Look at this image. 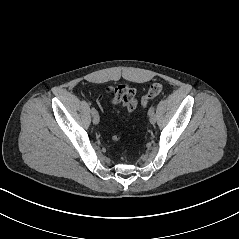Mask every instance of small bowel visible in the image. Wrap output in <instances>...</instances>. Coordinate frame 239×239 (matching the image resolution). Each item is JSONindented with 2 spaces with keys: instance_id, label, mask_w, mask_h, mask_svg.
Segmentation results:
<instances>
[{
  "instance_id": "c3829d8e",
  "label": "small bowel",
  "mask_w": 239,
  "mask_h": 239,
  "mask_svg": "<svg viewBox=\"0 0 239 239\" xmlns=\"http://www.w3.org/2000/svg\"><path fill=\"white\" fill-rule=\"evenodd\" d=\"M106 96H112V103L132 113L137 107L136 91L129 85H119L114 89H107Z\"/></svg>"
}]
</instances>
